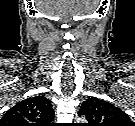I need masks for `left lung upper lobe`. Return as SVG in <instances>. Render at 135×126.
<instances>
[{"instance_id":"obj_1","label":"left lung upper lobe","mask_w":135,"mask_h":126,"mask_svg":"<svg viewBox=\"0 0 135 126\" xmlns=\"http://www.w3.org/2000/svg\"><path fill=\"white\" fill-rule=\"evenodd\" d=\"M78 115L86 117L87 126H133L125 112L96 97L84 101Z\"/></svg>"}]
</instances>
